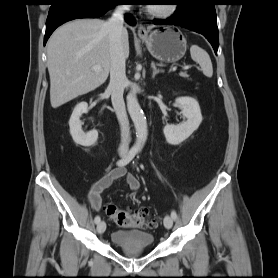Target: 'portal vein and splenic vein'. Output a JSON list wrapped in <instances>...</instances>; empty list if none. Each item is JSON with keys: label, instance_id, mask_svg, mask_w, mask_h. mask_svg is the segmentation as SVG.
Here are the masks:
<instances>
[{"label": "portal vein and splenic vein", "instance_id": "obj_1", "mask_svg": "<svg viewBox=\"0 0 278 278\" xmlns=\"http://www.w3.org/2000/svg\"><path fill=\"white\" fill-rule=\"evenodd\" d=\"M92 69H93L94 71H96V72L101 71V67L98 66V65L93 66ZM182 69H183V70H189V69H190V66H189V65H186V66H184Z\"/></svg>", "mask_w": 278, "mask_h": 278}]
</instances>
